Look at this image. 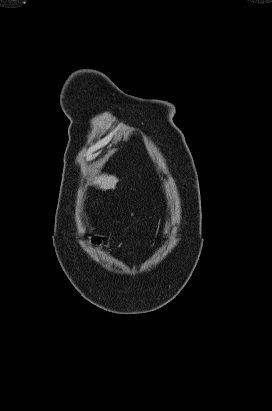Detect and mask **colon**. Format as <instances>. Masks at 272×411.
<instances>
[{"instance_id":"obj_1","label":"colon","mask_w":272,"mask_h":411,"mask_svg":"<svg viewBox=\"0 0 272 411\" xmlns=\"http://www.w3.org/2000/svg\"><path fill=\"white\" fill-rule=\"evenodd\" d=\"M92 241L95 243V244H100V239L99 238H93L92 239Z\"/></svg>"}]
</instances>
